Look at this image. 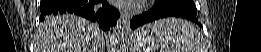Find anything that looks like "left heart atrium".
<instances>
[{
	"label": "left heart atrium",
	"instance_id": "left-heart-atrium-1",
	"mask_svg": "<svg viewBox=\"0 0 261 52\" xmlns=\"http://www.w3.org/2000/svg\"><path fill=\"white\" fill-rule=\"evenodd\" d=\"M146 2L145 0H119L117 1V5L119 7L129 9V8H135L140 4H143Z\"/></svg>",
	"mask_w": 261,
	"mask_h": 52
}]
</instances>
